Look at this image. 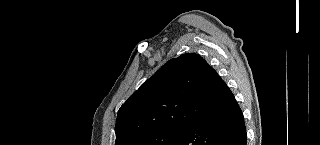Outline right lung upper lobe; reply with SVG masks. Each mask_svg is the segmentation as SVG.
Segmentation results:
<instances>
[{
    "label": "right lung upper lobe",
    "mask_w": 320,
    "mask_h": 145,
    "mask_svg": "<svg viewBox=\"0 0 320 145\" xmlns=\"http://www.w3.org/2000/svg\"><path fill=\"white\" fill-rule=\"evenodd\" d=\"M222 83L200 55L169 60L119 109L115 145H132L152 132L205 119L218 107Z\"/></svg>",
    "instance_id": "obj_1"
}]
</instances>
